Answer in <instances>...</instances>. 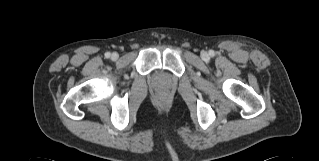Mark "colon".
<instances>
[{
    "label": "colon",
    "mask_w": 319,
    "mask_h": 161,
    "mask_svg": "<svg viewBox=\"0 0 319 161\" xmlns=\"http://www.w3.org/2000/svg\"><path fill=\"white\" fill-rule=\"evenodd\" d=\"M166 100V94L165 93H159L158 94V101L160 102V103H163L164 101Z\"/></svg>",
    "instance_id": "1"
}]
</instances>
